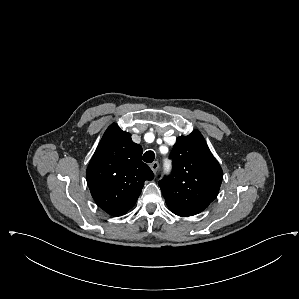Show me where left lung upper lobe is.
Returning <instances> with one entry per match:
<instances>
[{
	"instance_id": "1",
	"label": "left lung upper lobe",
	"mask_w": 299,
	"mask_h": 299,
	"mask_svg": "<svg viewBox=\"0 0 299 299\" xmlns=\"http://www.w3.org/2000/svg\"><path fill=\"white\" fill-rule=\"evenodd\" d=\"M170 158L173 171L160 182L166 204L190 216L202 212L217 196L222 169L198 130L177 138Z\"/></svg>"
}]
</instances>
